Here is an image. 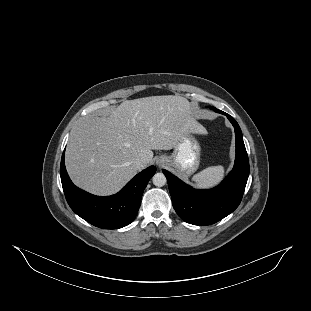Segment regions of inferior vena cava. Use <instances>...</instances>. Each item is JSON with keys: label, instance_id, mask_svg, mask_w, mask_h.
Listing matches in <instances>:
<instances>
[{"label": "inferior vena cava", "instance_id": "obj_1", "mask_svg": "<svg viewBox=\"0 0 311 311\" xmlns=\"http://www.w3.org/2000/svg\"><path fill=\"white\" fill-rule=\"evenodd\" d=\"M142 163V159L141 158H137L136 161H135V164L140 166Z\"/></svg>", "mask_w": 311, "mask_h": 311}]
</instances>
